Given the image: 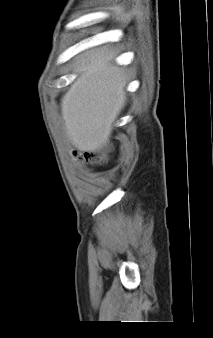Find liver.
<instances>
[{
	"mask_svg": "<svg viewBox=\"0 0 213 338\" xmlns=\"http://www.w3.org/2000/svg\"><path fill=\"white\" fill-rule=\"evenodd\" d=\"M106 47L79 56L77 79L61 99V118L68 139L80 151L93 152L108 142L125 106L127 78L113 64Z\"/></svg>",
	"mask_w": 213,
	"mask_h": 338,
	"instance_id": "1",
	"label": "liver"
}]
</instances>
